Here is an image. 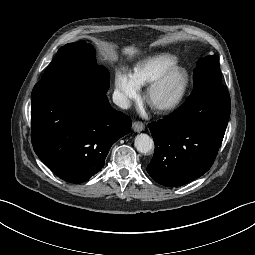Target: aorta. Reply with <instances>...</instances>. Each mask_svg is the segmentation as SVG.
<instances>
[{"mask_svg":"<svg viewBox=\"0 0 255 255\" xmlns=\"http://www.w3.org/2000/svg\"><path fill=\"white\" fill-rule=\"evenodd\" d=\"M134 145L138 152L147 154L152 151L154 142L149 135L141 133L135 137Z\"/></svg>","mask_w":255,"mask_h":255,"instance_id":"762f6f07","label":"aorta"}]
</instances>
